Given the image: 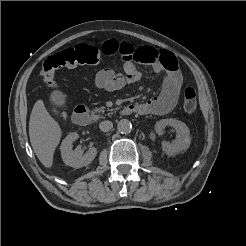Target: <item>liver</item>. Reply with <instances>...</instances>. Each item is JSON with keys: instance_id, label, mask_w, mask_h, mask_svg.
I'll return each instance as SVG.
<instances>
[{"instance_id": "obj_1", "label": "liver", "mask_w": 246, "mask_h": 246, "mask_svg": "<svg viewBox=\"0 0 246 246\" xmlns=\"http://www.w3.org/2000/svg\"><path fill=\"white\" fill-rule=\"evenodd\" d=\"M61 136L60 125L48 113L43 101L37 100L30 115L29 137L31 146L44 167H52L54 152Z\"/></svg>"}]
</instances>
